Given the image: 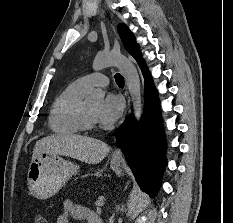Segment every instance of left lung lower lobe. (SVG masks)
<instances>
[{"label":"left lung lower lobe","instance_id":"0a47b994","mask_svg":"<svg viewBox=\"0 0 233 223\" xmlns=\"http://www.w3.org/2000/svg\"><path fill=\"white\" fill-rule=\"evenodd\" d=\"M135 59L145 79V118L138 125L134 116H128L115 135L117 145L124 153L138 184L151 196H155L167 164L165 139L160 120L158 95L151 75L141 54Z\"/></svg>","mask_w":233,"mask_h":223}]
</instances>
